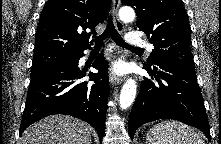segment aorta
Segmentation results:
<instances>
[{"label":"aorta","instance_id":"aorta-1","mask_svg":"<svg viewBox=\"0 0 221 144\" xmlns=\"http://www.w3.org/2000/svg\"><path fill=\"white\" fill-rule=\"evenodd\" d=\"M119 17L123 22L133 21L135 18V11L131 7H122L119 11ZM137 85L134 79L126 80L120 92V107L127 109L130 107L136 96Z\"/></svg>","mask_w":221,"mask_h":144}]
</instances>
